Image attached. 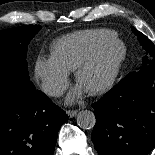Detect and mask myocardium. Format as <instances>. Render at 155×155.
Listing matches in <instances>:
<instances>
[{"instance_id":"myocardium-1","label":"myocardium","mask_w":155,"mask_h":155,"mask_svg":"<svg viewBox=\"0 0 155 155\" xmlns=\"http://www.w3.org/2000/svg\"><path fill=\"white\" fill-rule=\"evenodd\" d=\"M117 44L121 48V53L116 60V63L114 65L113 71L109 78L100 86L95 87L93 89L86 90V92L90 95H99L106 91H108L115 81L117 80L121 69L126 61L127 58V47L125 43L116 35L112 38H109L102 42L93 52L91 55H89L75 70V81L77 84L80 85L81 78L83 74L91 67L93 66L97 60L100 58L102 53L111 45Z\"/></svg>"}]
</instances>
